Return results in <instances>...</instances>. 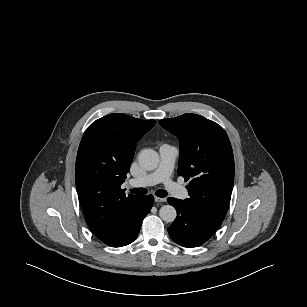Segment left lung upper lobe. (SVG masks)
<instances>
[{
  "instance_id": "left-lung-upper-lobe-1",
  "label": "left lung upper lobe",
  "mask_w": 307,
  "mask_h": 307,
  "mask_svg": "<svg viewBox=\"0 0 307 307\" xmlns=\"http://www.w3.org/2000/svg\"><path fill=\"white\" fill-rule=\"evenodd\" d=\"M159 124L180 141L178 175L189 198L185 207L205 224L218 229L228 211L234 182V157L226 132L196 114L162 119Z\"/></svg>"
}]
</instances>
